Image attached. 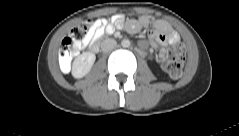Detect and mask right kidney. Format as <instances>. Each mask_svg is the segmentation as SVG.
Segmentation results:
<instances>
[{"instance_id": "1", "label": "right kidney", "mask_w": 239, "mask_h": 136, "mask_svg": "<svg viewBox=\"0 0 239 136\" xmlns=\"http://www.w3.org/2000/svg\"><path fill=\"white\" fill-rule=\"evenodd\" d=\"M95 55L90 52H83L74 61L72 65V75L74 78H82L89 73L94 62Z\"/></svg>"}]
</instances>
